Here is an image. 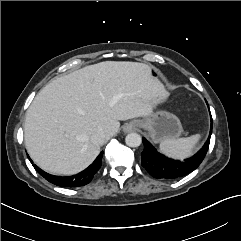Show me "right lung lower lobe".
I'll return each instance as SVG.
<instances>
[{"instance_id": "1", "label": "right lung lower lobe", "mask_w": 241, "mask_h": 241, "mask_svg": "<svg viewBox=\"0 0 241 241\" xmlns=\"http://www.w3.org/2000/svg\"><path fill=\"white\" fill-rule=\"evenodd\" d=\"M102 155H103V152H101L99 156L95 159V161L84 171L68 177L53 176L42 171L36 165H33V166L40 175H42L45 179H47L49 182L55 185L62 186V187H78V186H84L88 184L93 179L94 175L101 167ZM29 160L32 162L30 158Z\"/></svg>"}]
</instances>
